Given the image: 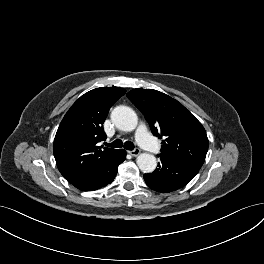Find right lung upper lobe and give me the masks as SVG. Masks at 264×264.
Here are the masks:
<instances>
[{
	"label": "right lung upper lobe",
	"mask_w": 264,
	"mask_h": 264,
	"mask_svg": "<svg viewBox=\"0 0 264 264\" xmlns=\"http://www.w3.org/2000/svg\"><path fill=\"white\" fill-rule=\"evenodd\" d=\"M120 87L93 89L82 95L64 116L54 139V156L59 171L70 180L100 164L117 152L102 148L103 131L111 106L125 94Z\"/></svg>",
	"instance_id": "cb5924a9"
}]
</instances>
